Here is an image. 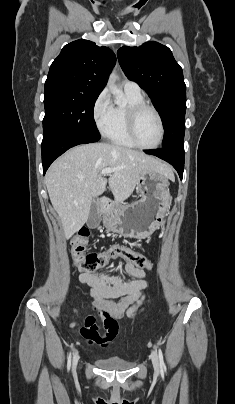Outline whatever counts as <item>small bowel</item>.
Instances as JSON below:
<instances>
[{
	"label": "small bowel",
	"instance_id": "obj_1",
	"mask_svg": "<svg viewBox=\"0 0 235 404\" xmlns=\"http://www.w3.org/2000/svg\"><path fill=\"white\" fill-rule=\"evenodd\" d=\"M126 271L135 279L133 281H125L119 275L108 273L93 274L81 272L78 276L79 281L89 286L88 295L92 297L94 309L102 311L107 317L114 322L113 331L118 330L115 318L126 314L129 317L136 316L144 309V304L150 301L146 294L148 282L145 279V272L130 264L126 263ZM128 295V297L119 303L109 302L108 298ZM82 336L88 343L99 342L101 336L98 331H91L86 328L81 330Z\"/></svg>",
	"mask_w": 235,
	"mask_h": 404
}]
</instances>
